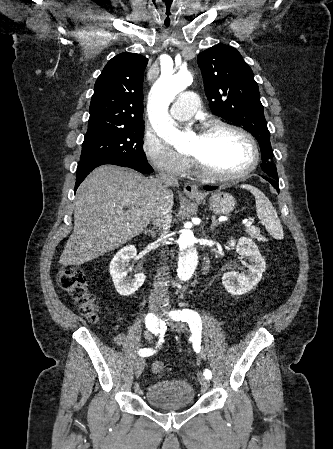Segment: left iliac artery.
Returning a JSON list of instances; mask_svg holds the SVG:
<instances>
[{
    "mask_svg": "<svg viewBox=\"0 0 333 449\" xmlns=\"http://www.w3.org/2000/svg\"><path fill=\"white\" fill-rule=\"evenodd\" d=\"M170 317L175 321H182L188 323L192 336L190 337L193 348L196 353L201 350V332H202V320L200 315L189 309L173 310L169 313ZM203 375L208 380L211 379L212 373L209 369H205Z\"/></svg>",
    "mask_w": 333,
    "mask_h": 449,
    "instance_id": "1",
    "label": "left iliac artery"
}]
</instances>
